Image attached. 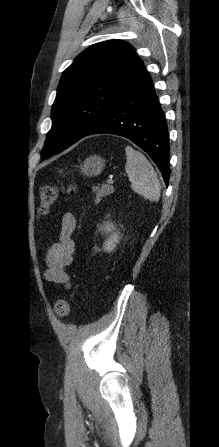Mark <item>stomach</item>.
<instances>
[{
  "label": "stomach",
  "mask_w": 219,
  "mask_h": 447,
  "mask_svg": "<svg viewBox=\"0 0 219 447\" xmlns=\"http://www.w3.org/2000/svg\"><path fill=\"white\" fill-rule=\"evenodd\" d=\"M105 166V161L99 156H90L81 165L80 169L84 175L97 176Z\"/></svg>",
  "instance_id": "stomach-1"
}]
</instances>
